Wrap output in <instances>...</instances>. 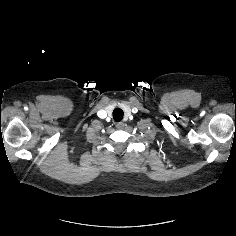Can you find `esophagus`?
<instances>
[{
    "label": "esophagus",
    "instance_id": "esophagus-1",
    "mask_svg": "<svg viewBox=\"0 0 236 236\" xmlns=\"http://www.w3.org/2000/svg\"><path fill=\"white\" fill-rule=\"evenodd\" d=\"M123 127H124V123H122V122L116 123V128L117 129H122Z\"/></svg>",
    "mask_w": 236,
    "mask_h": 236
}]
</instances>
